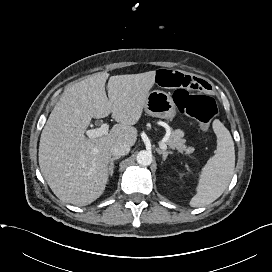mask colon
Listing matches in <instances>:
<instances>
[{
	"label": "colon",
	"instance_id": "obj_1",
	"mask_svg": "<svg viewBox=\"0 0 272 272\" xmlns=\"http://www.w3.org/2000/svg\"><path fill=\"white\" fill-rule=\"evenodd\" d=\"M173 99L178 110L198 121L203 131L208 130L210 122L218 112L214 99L207 95L190 93L185 89H177L173 93Z\"/></svg>",
	"mask_w": 272,
	"mask_h": 272
}]
</instances>
